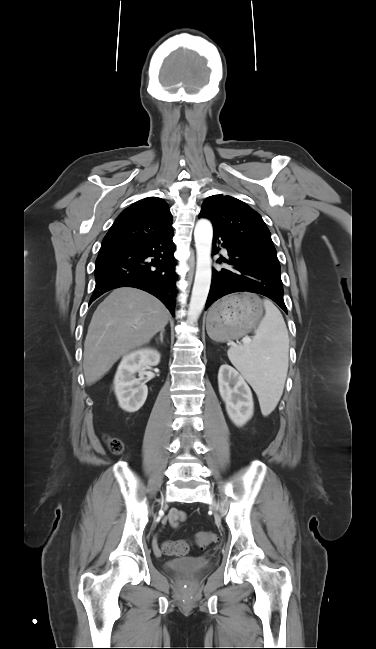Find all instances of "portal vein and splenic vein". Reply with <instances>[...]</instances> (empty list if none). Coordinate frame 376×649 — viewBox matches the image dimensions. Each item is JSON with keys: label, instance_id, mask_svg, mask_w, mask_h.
<instances>
[{"label": "portal vein and splenic vein", "instance_id": "1", "mask_svg": "<svg viewBox=\"0 0 376 649\" xmlns=\"http://www.w3.org/2000/svg\"><path fill=\"white\" fill-rule=\"evenodd\" d=\"M243 342H244L245 344L249 343V342H250V338H245V339L243 340Z\"/></svg>", "mask_w": 376, "mask_h": 649}]
</instances>
